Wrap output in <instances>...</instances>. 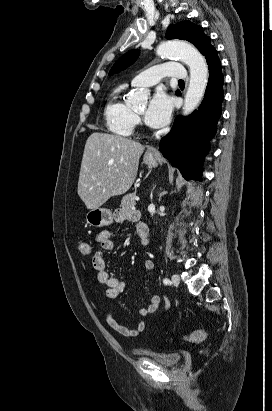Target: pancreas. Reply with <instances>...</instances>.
<instances>
[{"instance_id":"obj_1","label":"pancreas","mask_w":272,"mask_h":411,"mask_svg":"<svg viewBox=\"0 0 272 411\" xmlns=\"http://www.w3.org/2000/svg\"><path fill=\"white\" fill-rule=\"evenodd\" d=\"M135 197H136L135 192L126 194L122 198L120 207H122V209H131L133 206L136 205Z\"/></svg>"}]
</instances>
